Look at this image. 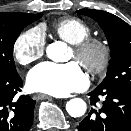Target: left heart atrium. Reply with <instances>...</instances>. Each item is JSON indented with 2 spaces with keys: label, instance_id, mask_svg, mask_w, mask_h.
I'll use <instances>...</instances> for the list:
<instances>
[{
  "label": "left heart atrium",
  "instance_id": "1",
  "mask_svg": "<svg viewBox=\"0 0 131 131\" xmlns=\"http://www.w3.org/2000/svg\"><path fill=\"white\" fill-rule=\"evenodd\" d=\"M28 87L35 92L66 96L87 87L88 79L76 62H45L34 67L27 76Z\"/></svg>",
  "mask_w": 131,
  "mask_h": 131
}]
</instances>
